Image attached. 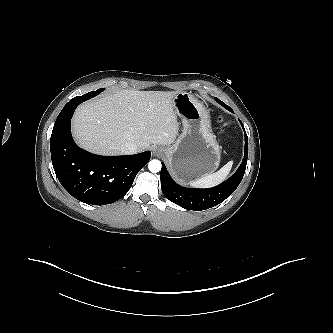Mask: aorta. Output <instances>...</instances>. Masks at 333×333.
<instances>
[{"mask_svg": "<svg viewBox=\"0 0 333 333\" xmlns=\"http://www.w3.org/2000/svg\"><path fill=\"white\" fill-rule=\"evenodd\" d=\"M148 169L152 172V173H157L161 170V162L157 159H153L151 161H149L148 163Z\"/></svg>", "mask_w": 333, "mask_h": 333, "instance_id": "1", "label": "aorta"}]
</instances>
